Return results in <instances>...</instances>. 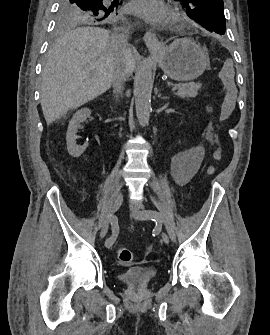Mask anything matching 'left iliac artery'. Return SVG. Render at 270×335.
Returning a JSON list of instances; mask_svg holds the SVG:
<instances>
[{"mask_svg":"<svg viewBox=\"0 0 270 335\" xmlns=\"http://www.w3.org/2000/svg\"><path fill=\"white\" fill-rule=\"evenodd\" d=\"M145 214L151 218L153 221L156 223H164L166 230L169 234V237L171 238L172 241H176V235L174 231V223L170 222L168 219L165 218L164 215L161 213L154 211V210H146Z\"/></svg>","mask_w":270,"mask_h":335,"instance_id":"obj_1","label":"left iliac artery"}]
</instances>
